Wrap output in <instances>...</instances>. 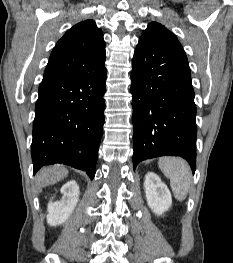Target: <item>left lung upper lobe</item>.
I'll use <instances>...</instances> for the list:
<instances>
[{"label":"left lung upper lobe","mask_w":233,"mask_h":263,"mask_svg":"<svg viewBox=\"0 0 233 263\" xmlns=\"http://www.w3.org/2000/svg\"><path fill=\"white\" fill-rule=\"evenodd\" d=\"M139 42L166 47L182 48L176 36L168 29H166L163 25L157 22H151L148 24V27L143 32L142 36L139 39Z\"/></svg>","instance_id":"left-lung-upper-lobe-1"}]
</instances>
